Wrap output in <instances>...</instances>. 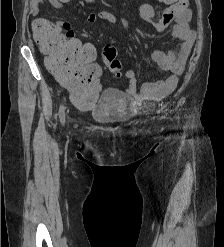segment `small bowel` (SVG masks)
<instances>
[{"mask_svg":"<svg viewBox=\"0 0 224 247\" xmlns=\"http://www.w3.org/2000/svg\"><path fill=\"white\" fill-rule=\"evenodd\" d=\"M70 0H31L32 12L34 16L40 14V7L44 3H49L55 9H61L64 3ZM168 5L161 17H157L155 9L150 4H143L138 9V16L151 24L157 31L162 32L171 25L172 36L178 40V44L168 53L154 50L150 57L162 69L170 72L165 80L154 83H145L141 89H137V79L133 70H127V93L135 100H157L170 94L177 86L179 77L183 72L187 59L191 53L195 33L190 28L191 11L188 8L187 0H160ZM97 19H104L113 25H118V20L109 12L97 11L88 16V22L93 23ZM57 28L66 30L65 36L70 40L79 41L71 25L66 20H59L53 23Z\"/></svg>","mask_w":224,"mask_h":247,"instance_id":"small-bowel-1","label":"small bowel"}]
</instances>
